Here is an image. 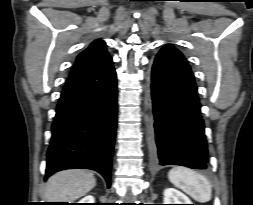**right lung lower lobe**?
I'll return each mask as SVG.
<instances>
[{
  "instance_id": "98d812e1",
  "label": "right lung lower lobe",
  "mask_w": 253,
  "mask_h": 205,
  "mask_svg": "<svg viewBox=\"0 0 253 205\" xmlns=\"http://www.w3.org/2000/svg\"><path fill=\"white\" fill-rule=\"evenodd\" d=\"M116 121L117 82L112 59L69 76L52 124L45 177L64 169H92L110 187Z\"/></svg>"
}]
</instances>
